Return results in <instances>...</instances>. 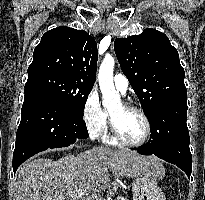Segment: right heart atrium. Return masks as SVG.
I'll use <instances>...</instances> for the list:
<instances>
[{"label": "right heart atrium", "instance_id": "1", "mask_svg": "<svg viewBox=\"0 0 205 200\" xmlns=\"http://www.w3.org/2000/svg\"><path fill=\"white\" fill-rule=\"evenodd\" d=\"M83 121L92 138H99L107 130L108 114L100 103L96 91H91L86 98L83 107Z\"/></svg>", "mask_w": 205, "mask_h": 200}]
</instances>
